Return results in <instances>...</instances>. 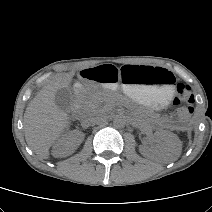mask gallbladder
Listing matches in <instances>:
<instances>
[{
	"instance_id": "gallbladder-1",
	"label": "gallbladder",
	"mask_w": 212,
	"mask_h": 212,
	"mask_svg": "<svg viewBox=\"0 0 212 212\" xmlns=\"http://www.w3.org/2000/svg\"><path fill=\"white\" fill-rule=\"evenodd\" d=\"M55 104L63 111H68L72 102V92L69 88H60L55 93Z\"/></svg>"
}]
</instances>
